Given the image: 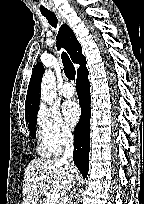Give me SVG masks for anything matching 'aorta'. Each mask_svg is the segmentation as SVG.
Listing matches in <instances>:
<instances>
[{"instance_id":"762f6f07","label":"aorta","mask_w":144,"mask_h":204,"mask_svg":"<svg viewBox=\"0 0 144 204\" xmlns=\"http://www.w3.org/2000/svg\"><path fill=\"white\" fill-rule=\"evenodd\" d=\"M56 95V82L54 73L48 70L44 73L41 82V101L51 105Z\"/></svg>"}]
</instances>
